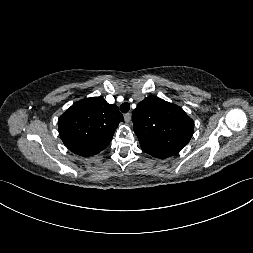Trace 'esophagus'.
I'll use <instances>...</instances> for the list:
<instances>
[{
	"label": "esophagus",
	"instance_id": "obj_1",
	"mask_svg": "<svg viewBox=\"0 0 253 253\" xmlns=\"http://www.w3.org/2000/svg\"><path fill=\"white\" fill-rule=\"evenodd\" d=\"M124 119H125L126 123L130 122V120H131V114L130 113L125 114Z\"/></svg>",
	"mask_w": 253,
	"mask_h": 253
}]
</instances>
